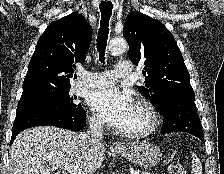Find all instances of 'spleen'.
<instances>
[{
    "label": "spleen",
    "mask_w": 224,
    "mask_h": 174,
    "mask_svg": "<svg viewBox=\"0 0 224 174\" xmlns=\"http://www.w3.org/2000/svg\"><path fill=\"white\" fill-rule=\"evenodd\" d=\"M192 173L193 174H202V164L200 162V159L197 157L195 153H192Z\"/></svg>",
    "instance_id": "1"
}]
</instances>
